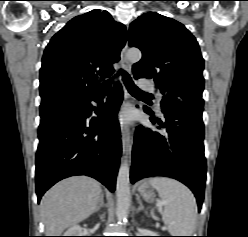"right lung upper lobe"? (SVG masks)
I'll use <instances>...</instances> for the list:
<instances>
[{
	"label": "right lung upper lobe",
	"mask_w": 248,
	"mask_h": 237,
	"mask_svg": "<svg viewBox=\"0 0 248 237\" xmlns=\"http://www.w3.org/2000/svg\"><path fill=\"white\" fill-rule=\"evenodd\" d=\"M127 40L125 26L107 11L92 10L70 20L47 45L40 69L41 105L82 99L100 91L98 78L113 64Z\"/></svg>",
	"instance_id": "cb5924a9"
}]
</instances>
